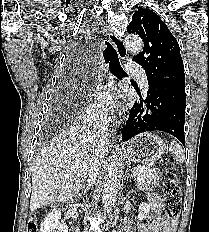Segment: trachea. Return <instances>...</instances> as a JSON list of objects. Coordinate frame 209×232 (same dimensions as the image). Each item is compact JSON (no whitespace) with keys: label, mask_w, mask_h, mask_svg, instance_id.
I'll return each mask as SVG.
<instances>
[{"label":"trachea","mask_w":209,"mask_h":232,"mask_svg":"<svg viewBox=\"0 0 209 232\" xmlns=\"http://www.w3.org/2000/svg\"><path fill=\"white\" fill-rule=\"evenodd\" d=\"M106 48L103 51V56L106 63H109V68L112 74L118 78L127 77V74L120 65L116 50L111 43L105 41Z\"/></svg>","instance_id":"obj_1"}]
</instances>
